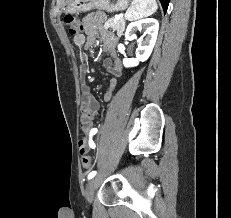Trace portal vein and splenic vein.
Masks as SVG:
<instances>
[{"instance_id": "obj_1", "label": "portal vein and splenic vein", "mask_w": 231, "mask_h": 218, "mask_svg": "<svg viewBox=\"0 0 231 218\" xmlns=\"http://www.w3.org/2000/svg\"><path fill=\"white\" fill-rule=\"evenodd\" d=\"M122 16L121 15H116L115 18L116 19H120Z\"/></svg>"}]
</instances>
